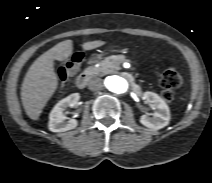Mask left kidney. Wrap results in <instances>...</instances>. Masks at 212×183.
Instances as JSON below:
<instances>
[{
  "instance_id": "obj_1",
  "label": "left kidney",
  "mask_w": 212,
  "mask_h": 183,
  "mask_svg": "<svg viewBox=\"0 0 212 183\" xmlns=\"http://www.w3.org/2000/svg\"><path fill=\"white\" fill-rule=\"evenodd\" d=\"M143 99L152 104L156 112L153 114V117H150L148 114L142 115L140 117L141 124L154 130L167 126L170 121V110L166 102L153 92H145Z\"/></svg>"
}]
</instances>
